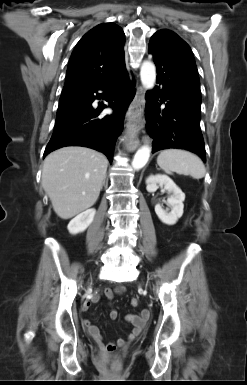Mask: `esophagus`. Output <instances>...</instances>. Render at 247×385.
Listing matches in <instances>:
<instances>
[{"instance_id": "esophagus-1", "label": "esophagus", "mask_w": 247, "mask_h": 385, "mask_svg": "<svg viewBox=\"0 0 247 385\" xmlns=\"http://www.w3.org/2000/svg\"><path fill=\"white\" fill-rule=\"evenodd\" d=\"M144 97L145 90L142 86H139L133 99V117L126 128L127 149L130 151L135 150L139 145V134L143 129Z\"/></svg>"}]
</instances>
